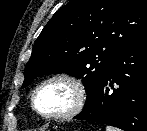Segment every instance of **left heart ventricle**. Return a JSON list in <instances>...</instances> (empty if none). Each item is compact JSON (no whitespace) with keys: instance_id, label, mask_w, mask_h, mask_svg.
I'll return each instance as SVG.
<instances>
[{"instance_id":"b2bd125f","label":"left heart ventricle","mask_w":147,"mask_h":131,"mask_svg":"<svg viewBox=\"0 0 147 131\" xmlns=\"http://www.w3.org/2000/svg\"><path fill=\"white\" fill-rule=\"evenodd\" d=\"M75 101V91L64 81L45 84L36 95V106L44 114H58L69 110Z\"/></svg>"}]
</instances>
